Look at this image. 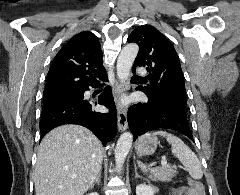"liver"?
<instances>
[{
    "mask_svg": "<svg viewBox=\"0 0 240 195\" xmlns=\"http://www.w3.org/2000/svg\"><path fill=\"white\" fill-rule=\"evenodd\" d=\"M101 141L83 125H59L43 137L34 175L36 195H82L102 165Z\"/></svg>",
    "mask_w": 240,
    "mask_h": 195,
    "instance_id": "6515ba94",
    "label": "liver"
}]
</instances>
